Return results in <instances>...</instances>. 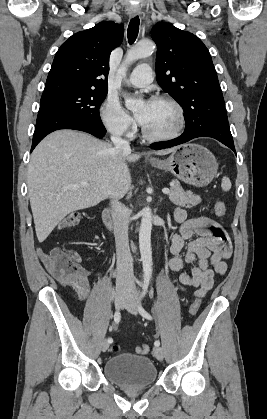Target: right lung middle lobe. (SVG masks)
Instances as JSON below:
<instances>
[{"label":"right lung middle lobe","mask_w":267,"mask_h":419,"mask_svg":"<svg viewBox=\"0 0 267 419\" xmlns=\"http://www.w3.org/2000/svg\"><path fill=\"white\" fill-rule=\"evenodd\" d=\"M106 95L107 90L62 89L44 92L41 105L55 106L84 121L101 123L99 108Z\"/></svg>","instance_id":"1"}]
</instances>
